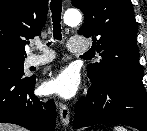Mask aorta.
I'll return each instance as SVG.
<instances>
[{
    "label": "aorta",
    "instance_id": "aorta-1",
    "mask_svg": "<svg viewBox=\"0 0 147 131\" xmlns=\"http://www.w3.org/2000/svg\"><path fill=\"white\" fill-rule=\"evenodd\" d=\"M82 19V15L78 10L70 9L64 14V22L68 26H77Z\"/></svg>",
    "mask_w": 147,
    "mask_h": 131
}]
</instances>
